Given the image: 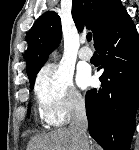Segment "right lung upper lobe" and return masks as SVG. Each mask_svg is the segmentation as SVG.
<instances>
[{
    "instance_id": "right-lung-upper-lobe-1",
    "label": "right lung upper lobe",
    "mask_w": 139,
    "mask_h": 150,
    "mask_svg": "<svg viewBox=\"0 0 139 150\" xmlns=\"http://www.w3.org/2000/svg\"><path fill=\"white\" fill-rule=\"evenodd\" d=\"M125 10L120 0H73L72 17L76 27L82 31L87 27L94 36V44ZM62 35L60 17L54 11L45 12L34 23L28 35L26 51L29 81L45 64L49 53L60 43Z\"/></svg>"
}]
</instances>
